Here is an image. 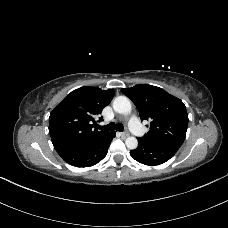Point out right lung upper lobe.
<instances>
[{"mask_svg":"<svg viewBox=\"0 0 228 228\" xmlns=\"http://www.w3.org/2000/svg\"><path fill=\"white\" fill-rule=\"evenodd\" d=\"M113 95L111 89L96 87H81L69 93L49 117V132L56 151L85 145L108 134L92 127L96 124L95 117L111 102Z\"/></svg>","mask_w":228,"mask_h":228,"instance_id":"obj_1","label":"right lung upper lobe"}]
</instances>
